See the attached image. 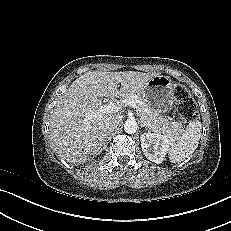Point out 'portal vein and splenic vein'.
<instances>
[{
  "mask_svg": "<svg viewBox=\"0 0 231 231\" xmlns=\"http://www.w3.org/2000/svg\"><path fill=\"white\" fill-rule=\"evenodd\" d=\"M122 105H128L132 108H137L136 103L134 101L125 99L118 104L110 103L100 106L98 109V113L110 114V113L118 112ZM94 116H96V112H92L88 117L91 118Z\"/></svg>",
  "mask_w": 231,
  "mask_h": 231,
  "instance_id": "portal-vein-and-splenic-vein-1",
  "label": "portal vein and splenic vein"
}]
</instances>
